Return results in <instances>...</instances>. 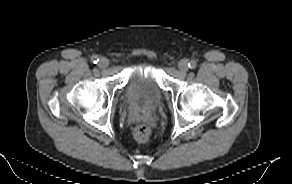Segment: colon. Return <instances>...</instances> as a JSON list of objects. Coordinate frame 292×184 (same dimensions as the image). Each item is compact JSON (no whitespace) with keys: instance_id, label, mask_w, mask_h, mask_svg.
<instances>
[{"instance_id":"5ec220e1","label":"colon","mask_w":292,"mask_h":184,"mask_svg":"<svg viewBox=\"0 0 292 184\" xmlns=\"http://www.w3.org/2000/svg\"><path fill=\"white\" fill-rule=\"evenodd\" d=\"M152 135L151 128L146 124H138L133 129V136L139 143L146 144L150 141Z\"/></svg>"}]
</instances>
